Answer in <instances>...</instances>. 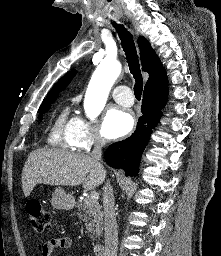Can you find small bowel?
Wrapping results in <instances>:
<instances>
[{"label":"small bowel","mask_w":221,"mask_h":256,"mask_svg":"<svg viewBox=\"0 0 221 256\" xmlns=\"http://www.w3.org/2000/svg\"><path fill=\"white\" fill-rule=\"evenodd\" d=\"M73 245V241L68 237L53 238L46 241L43 245L41 256H53L57 249H69Z\"/></svg>","instance_id":"obj_1"}]
</instances>
